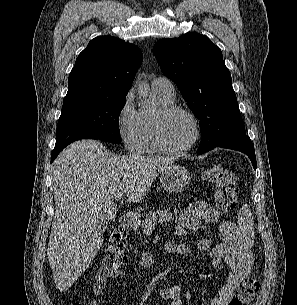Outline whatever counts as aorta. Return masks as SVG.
<instances>
[{
    "instance_id": "1",
    "label": "aorta",
    "mask_w": 297,
    "mask_h": 305,
    "mask_svg": "<svg viewBox=\"0 0 297 305\" xmlns=\"http://www.w3.org/2000/svg\"><path fill=\"white\" fill-rule=\"evenodd\" d=\"M138 94L141 97L145 106L150 105L149 101V88L145 81H139L138 83Z\"/></svg>"
}]
</instances>
